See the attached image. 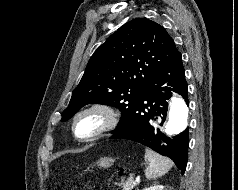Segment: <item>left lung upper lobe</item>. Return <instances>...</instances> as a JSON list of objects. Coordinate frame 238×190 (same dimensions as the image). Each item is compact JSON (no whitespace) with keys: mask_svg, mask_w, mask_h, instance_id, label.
Here are the masks:
<instances>
[{"mask_svg":"<svg viewBox=\"0 0 238 190\" xmlns=\"http://www.w3.org/2000/svg\"><path fill=\"white\" fill-rule=\"evenodd\" d=\"M177 53L173 39L156 22L136 18L124 24L90 58L61 121L70 119L84 105L97 103L122 112L119 126L152 76Z\"/></svg>","mask_w":238,"mask_h":190,"instance_id":"obj_1","label":"left lung upper lobe"}]
</instances>
